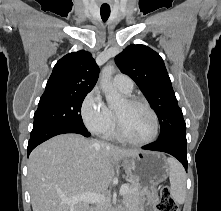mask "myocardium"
I'll return each mask as SVG.
<instances>
[{"label":"myocardium","mask_w":221,"mask_h":211,"mask_svg":"<svg viewBox=\"0 0 221 211\" xmlns=\"http://www.w3.org/2000/svg\"><path fill=\"white\" fill-rule=\"evenodd\" d=\"M125 100L130 105L143 106L150 112V114L153 118V133H152L151 137L148 138L147 140H144V141L133 140L132 138H130L126 134L119 116L115 113L116 132H117L118 137L121 140H123L124 142L129 143L131 145H135V146H145V145H148V144L154 142L158 136V133H159V120H158V116H157L155 110L150 106L149 103H147L146 101H144L142 99H139L136 97H127Z\"/></svg>","instance_id":"f54148a6"}]
</instances>
